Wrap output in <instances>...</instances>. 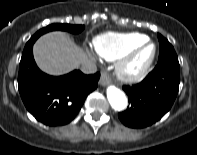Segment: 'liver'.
I'll return each mask as SVG.
<instances>
[{
  "label": "liver",
  "instance_id": "6515ba94",
  "mask_svg": "<svg viewBox=\"0 0 197 155\" xmlns=\"http://www.w3.org/2000/svg\"><path fill=\"white\" fill-rule=\"evenodd\" d=\"M34 58L39 68L50 75H62L87 61L85 52L64 32L41 36L34 44Z\"/></svg>",
  "mask_w": 197,
  "mask_h": 155
}]
</instances>
